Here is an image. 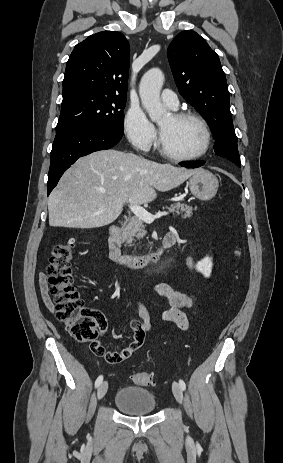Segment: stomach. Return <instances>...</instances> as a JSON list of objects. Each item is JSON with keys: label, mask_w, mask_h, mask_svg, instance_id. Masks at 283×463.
Returning <instances> with one entry per match:
<instances>
[{"label": "stomach", "mask_w": 283, "mask_h": 463, "mask_svg": "<svg viewBox=\"0 0 283 463\" xmlns=\"http://www.w3.org/2000/svg\"><path fill=\"white\" fill-rule=\"evenodd\" d=\"M192 195L199 200H211L217 193L219 182L217 177L208 170L198 169L188 182Z\"/></svg>", "instance_id": "stomach-1"}]
</instances>
